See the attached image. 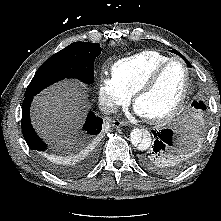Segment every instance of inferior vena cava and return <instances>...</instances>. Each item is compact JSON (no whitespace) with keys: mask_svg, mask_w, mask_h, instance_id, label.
<instances>
[{"mask_svg":"<svg viewBox=\"0 0 221 221\" xmlns=\"http://www.w3.org/2000/svg\"><path fill=\"white\" fill-rule=\"evenodd\" d=\"M100 109L105 114L117 112V107L113 103L108 102V101L100 102Z\"/></svg>","mask_w":221,"mask_h":221,"instance_id":"obj_1","label":"inferior vena cava"}]
</instances>
